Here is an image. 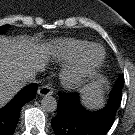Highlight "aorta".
<instances>
[{
  "label": "aorta",
  "mask_w": 135,
  "mask_h": 135,
  "mask_svg": "<svg viewBox=\"0 0 135 135\" xmlns=\"http://www.w3.org/2000/svg\"><path fill=\"white\" fill-rule=\"evenodd\" d=\"M41 107L43 111L54 112L57 108V101L51 95H45L41 100Z\"/></svg>",
  "instance_id": "obj_1"
}]
</instances>
